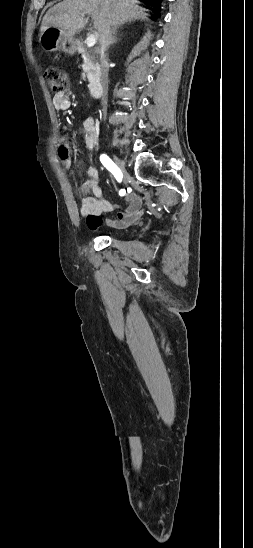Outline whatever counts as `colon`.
<instances>
[{
	"instance_id": "colon-1",
	"label": "colon",
	"mask_w": 253,
	"mask_h": 548,
	"mask_svg": "<svg viewBox=\"0 0 253 548\" xmlns=\"http://www.w3.org/2000/svg\"><path fill=\"white\" fill-rule=\"evenodd\" d=\"M45 78L49 88L58 93L68 84L67 73L59 66L51 65L45 71Z\"/></svg>"
}]
</instances>
